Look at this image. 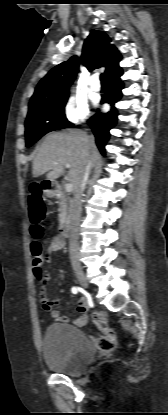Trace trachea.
<instances>
[{
  "mask_svg": "<svg viewBox=\"0 0 168 415\" xmlns=\"http://www.w3.org/2000/svg\"><path fill=\"white\" fill-rule=\"evenodd\" d=\"M100 80H101L102 83H106L107 82V77H106V75L104 73H102L100 75Z\"/></svg>",
  "mask_w": 168,
  "mask_h": 415,
  "instance_id": "trachea-1",
  "label": "trachea"
}]
</instances>
